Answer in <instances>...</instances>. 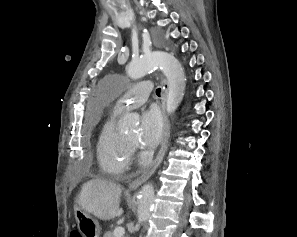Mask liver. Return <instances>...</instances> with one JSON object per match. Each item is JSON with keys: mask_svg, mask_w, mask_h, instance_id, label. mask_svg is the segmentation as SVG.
I'll list each match as a JSON object with an SVG mask.
<instances>
[{"mask_svg": "<svg viewBox=\"0 0 297 237\" xmlns=\"http://www.w3.org/2000/svg\"><path fill=\"white\" fill-rule=\"evenodd\" d=\"M121 193L119 185L100 179L90 180L83 185L78 204L98 219L111 220L123 214V209L119 207Z\"/></svg>", "mask_w": 297, "mask_h": 237, "instance_id": "1", "label": "liver"}]
</instances>
